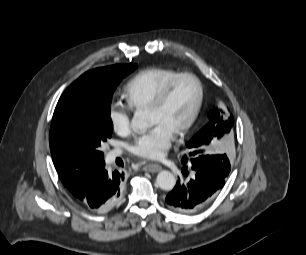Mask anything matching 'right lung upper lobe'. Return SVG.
<instances>
[{
  "mask_svg": "<svg viewBox=\"0 0 306 255\" xmlns=\"http://www.w3.org/2000/svg\"><path fill=\"white\" fill-rule=\"evenodd\" d=\"M114 66H108L103 68H97L90 70L84 73L78 80H76L73 84L76 83H86V84H94L97 82H102L108 80L113 74ZM65 185V184H64ZM67 189L70 191L73 185H65Z\"/></svg>",
  "mask_w": 306,
  "mask_h": 255,
  "instance_id": "obj_1",
  "label": "right lung upper lobe"
}]
</instances>
